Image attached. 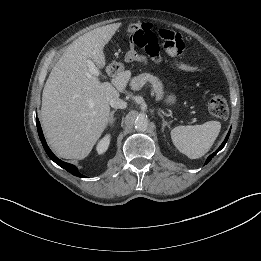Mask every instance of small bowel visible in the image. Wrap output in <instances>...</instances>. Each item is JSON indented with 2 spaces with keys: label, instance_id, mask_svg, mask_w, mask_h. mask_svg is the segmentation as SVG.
I'll return each instance as SVG.
<instances>
[{
  "label": "small bowel",
  "instance_id": "1",
  "mask_svg": "<svg viewBox=\"0 0 261 261\" xmlns=\"http://www.w3.org/2000/svg\"><path fill=\"white\" fill-rule=\"evenodd\" d=\"M126 59L130 62H140V63L145 62V57L137 53L133 46H130V48L126 52Z\"/></svg>",
  "mask_w": 261,
  "mask_h": 261
}]
</instances>
